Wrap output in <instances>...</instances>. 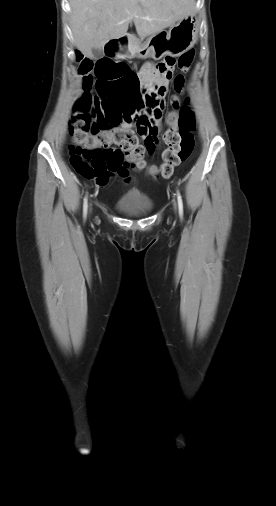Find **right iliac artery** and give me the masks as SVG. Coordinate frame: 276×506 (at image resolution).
<instances>
[{"mask_svg":"<svg viewBox=\"0 0 276 506\" xmlns=\"http://www.w3.org/2000/svg\"><path fill=\"white\" fill-rule=\"evenodd\" d=\"M83 214H84V217H86V214H87V197L84 199Z\"/></svg>","mask_w":276,"mask_h":506,"instance_id":"right-iliac-artery-1","label":"right iliac artery"}]
</instances>
